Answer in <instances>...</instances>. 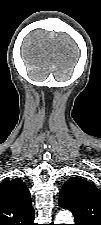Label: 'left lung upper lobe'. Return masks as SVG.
<instances>
[{
    "label": "left lung upper lobe",
    "mask_w": 101,
    "mask_h": 225,
    "mask_svg": "<svg viewBox=\"0 0 101 225\" xmlns=\"http://www.w3.org/2000/svg\"><path fill=\"white\" fill-rule=\"evenodd\" d=\"M59 206L73 213L75 225H101V192L85 179L74 177L66 181Z\"/></svg>",
    "instance_id": "1"
}]
</instances>
